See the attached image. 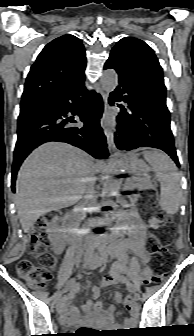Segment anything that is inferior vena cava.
<instances>
[{"label": "inferior vena cava", "mask_w": 194, "mask_h": 336, "mask_svg": "<svg viewBox=\"0 0 194 336\" xmlns=\"http://www.w3.org/2000/svg\"><path fill=\"white\" fill-rule=\"evenodd\" d=\"M97 167H98L97 162H90L88 170H89V172L92 175L97 176L98 175ZM95 180H96L95 177H91L88 180L86 194L84 196L83 203L86 206H89V207H95V206H97V197L95 195V189H94V182H95Z\"/></svg>", "instance_id": "obj_1"}]
</instances>
